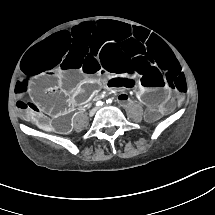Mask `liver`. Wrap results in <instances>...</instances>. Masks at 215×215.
Listing matches in <instances>:
<instances>
[{"label":"liver","mask_w":215,"mask_h":215,"mask_svg":"<svg viewBox=\"0 0 215 215\" xmlns=\"http://www.w3.org/2000/svg\"><path fill=\"white\" fill-rule=\"evenodd\" d=\"M37 128L45 132H56V129L53 126H49V125L38 124Z\"/></svg>","instance_id":"6515ba94"}]
</instances>
